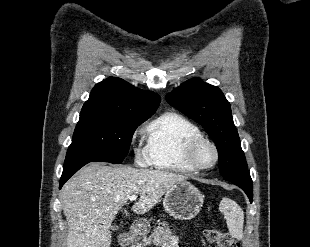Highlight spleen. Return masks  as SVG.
<instances>
[{"label": "spleen", "mask_w": 310, "mask_h": 247, "mask_svg": "<svg viewBox=\"0 0 310 247\" xmlns=\"http://www.w3.org/2000/svg\"><path fill=\"white\" fill-rule=\"evenodd\" d=\"M219 210L225 215L228 230L234 238L243 237L244 212L241 207L229 198H222Z\"/></svg>", "instance_id": "1"}]
</instances>
